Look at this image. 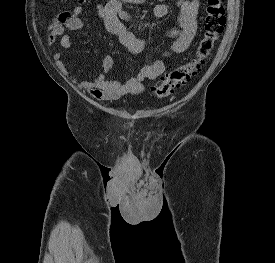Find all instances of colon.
Returning <instances> with one entry per match:
<instances>
[{
    "mask_svg": "<svg viewBox=\"0 0 275 263\" xmlns=\"http://www.w3.org/2000/svg\"><path fill=\"white\" fill-rule=\"evenodd\" d=\"M225 24L222 0H206L203 34L194 53L180 66L166 71L161 80L152 86L151 95L157 99L169 97L195 77L211 58Z\"/></svg>",
    "mask_w": 275,
    "mask_h": 263,
    "instance_id": "1",
    "label": "colon"
}]
</instances>
